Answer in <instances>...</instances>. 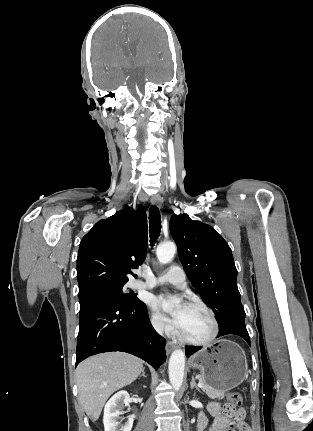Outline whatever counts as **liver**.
<instances>
[{
  "instance_id": "1",
  "label": "liver",
  "mask_w": 313,
  "mask_h": 431,
  "mask_svg": "<svg viewBox=\"0 0 313 431\" xmlns=\"http://www.w3.org/2000/svg\"><path fill=\"white\" fill-rule=\"evenodd\" d=\"M143 361L122 352L92 356L76 369L79 400L92 421L115 391L131 384L143 370Z\"/></svg>"
}]
</instances>
